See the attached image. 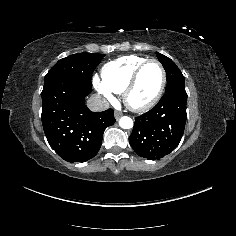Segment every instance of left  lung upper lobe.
<instances>
[{
	"instance_id": "5c2ea615",
	"label": "left lung upper lobe",
	"mask_w": 236,
	"mask_h": 236,
	"mask_svg": "<svg viewBox=\"0 0 236 236\" xmlns=\"http://www.w3.org/2000/svg\"><path fill=\"white\" fill-rule=\"evenodd\" d=\"M157 58L159 61L163 64V67L166 71L167 75V89H170L172 87L176 86H184L185 85V79L179 68L176 66V64L168 57H166L163 54L156 53Z\"/></svg>"
}]
</instances>
